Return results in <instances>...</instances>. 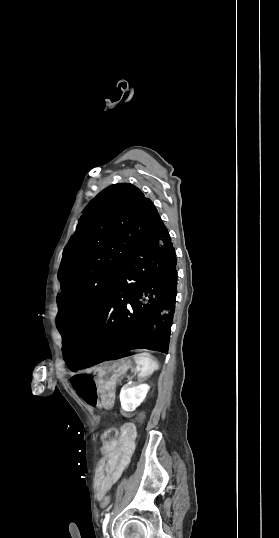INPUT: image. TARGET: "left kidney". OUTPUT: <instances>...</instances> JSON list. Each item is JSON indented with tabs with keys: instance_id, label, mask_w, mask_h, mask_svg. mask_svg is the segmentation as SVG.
Segmentation results:
<instances>
[{
	"instance_id": "obj_1",
	"label": "left kidney",
	"mask_w": 279,
	"mask_h": 538,
	"mask_svg": "<svg viewBox=\"0 0 279 538\" xmlns=\"http://www.w3.org/2000/svg\"><path fill=\"white\" fill-rule=\"evenodd\" d=\"M150 386L147 384H140V386H123L120 392V402L122 410L125 412H134L143 400H145Z\"/></svg>"
}]
</instances>
